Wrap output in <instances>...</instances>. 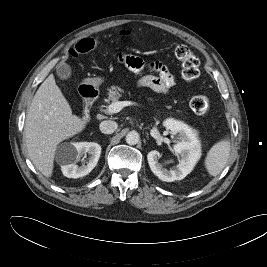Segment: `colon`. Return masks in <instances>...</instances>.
I'll list each match as a JSON object with an SVG mask.
<instances>
[{
	"label": "colon",
	"mask_w": 267,
	"mask_h": 267,
	"mask_svg": "<svg viewBox=\"0 0 267 267\" xmlns=\"http://www.w3.org/2000/svg\"><path fill=\"white\" fill-rule=\"evenodd\" d=\"M99 42L93 38L80 40L71 50L72 56H79L94 50ZM175 55L181 64V74L186 82H192L199 76V60L185 45L178 44L174 48ZM190 107L197 115H204L209 111L210 102L205 95H196L190 100Z\"/></svg>",
	"instance_id": "obj_1"
}]
</instances>
